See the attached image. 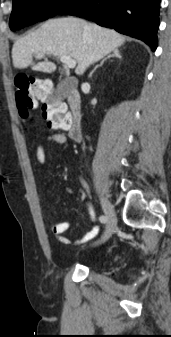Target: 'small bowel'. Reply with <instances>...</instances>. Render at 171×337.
Instances as JSON below:
<instances>
[{"label": "small bowel", "instance_id": "c3829d8e", "mask_svg": "<svg viewBox=\"0 0 171 337\" xmlns=\"http://www.w3.org/2000/svg\"><path fill=\"white\" fill-rule=\"evenodd\" d=\"M47 142H54L59 145L66 146L67 145V137L64 133H54L52 135L47 136L46 138L41 139L35 149V157L40 165H45L47 161V156L45 152V145ZM88 210V216L90 221L94 222V212L89 203L85 204ZM77 218V216H75ZM70 222L68 221H59L54 222L51 224L50 229L51 232L55 235L59 242L66 244V245H77V244H84L93 239H95L99 233V227L97 225H92V227L83 235L77 238H69L65 236V234L70 229Z\"/></svg>", "mask_w": 171, "mask_h": 337}]
</instances>
